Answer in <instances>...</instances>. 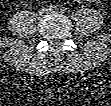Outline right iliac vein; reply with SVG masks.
<instances>
[{
	"instance_id": "1",
	"label": "right iliac vein",
	"mask_w": 111,
	"mask_h": 106,
	"mask_svg": "<svg viewBox=\"0 0 111 106\" xmlns=\"http://www.w3.org/2000/svg\"><path fill=\"white\" fill-rule=\"evenodd\" d=\"M47 12V9H42L41 11H40V14H45Z\"/></svg>"
}]
</instances>
